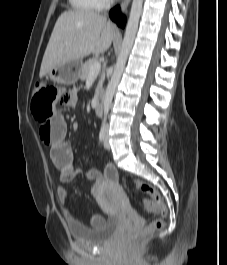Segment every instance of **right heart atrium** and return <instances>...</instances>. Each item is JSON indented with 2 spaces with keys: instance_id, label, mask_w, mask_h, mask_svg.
Listing matches in <instances>:
<instances>
[{
  "instance_id": "d8ad5b80",
  "label": "right heart atrium",
  "mask_w": 227,
  "mask_h": 265,
  "mask_svg": "<svg viewBox=\"0 0 227 265\" xmlns=\"http://www.w3.org/2000/svg\"><path fill=\"white\" fill-rule=\"evenodd\" d=\"M110 0H98L99 6L104 7L109 3Z\"/></svg>"
}]
</instances>
